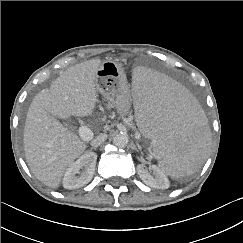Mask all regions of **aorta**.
Segmentation results:
<instances>
[{"label":"aorta","mask_w":243,"mask_h":243,"mask_svg":"<svg viewBox=\"0 0 243 243\" xmlns=\"http://www.w3.org/2000/svg\"><path fill=\"white\" fill-rule=\"evenodd\" d=\"M129 142V136L126 133L116 134L113 138V144L117 147H126Z\"/></svg>","instance_id":"aorta-1"}]
</instances>
